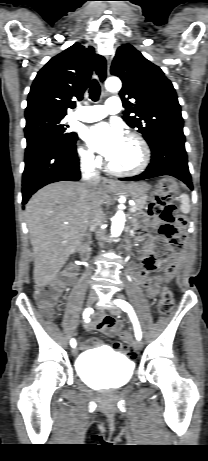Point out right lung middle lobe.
<instances>
[{"label":"right lung middle lobe","mask_w":208,"mask_h":461,"mask_svg":"<svg viewBox=\"0 0 208 461\" xmlns=\"http://www.w3.org/2000/svg\"><path fill=\"white\" fill-rule=\"evenodd\" d=\"M64 116L31 115L26 116L25 137L26 149L44 140H53L75 146L78 136L68 132V125L63 123Z\"/></svg>","instance_id":"obj_1"}]
</instances>
